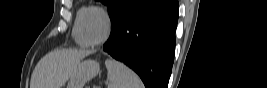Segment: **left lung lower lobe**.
Wrapping results in <instances>:
<instances>
[{"label":"left lung lower lobe","mask_w":267,"mask_h":88,"mask_svg":"<svg viewBox=\"0 0 267 88\" xmlns=\"http://www.w3.org/2000/svg\"><path fill=\"white\" fill-rule=\"evenodd\" d=\"M177 21V0H131L103 50L138 73L147 88H167Z\"/></svg>","instance_id":"1"}]
</instances>
